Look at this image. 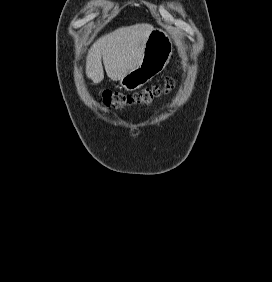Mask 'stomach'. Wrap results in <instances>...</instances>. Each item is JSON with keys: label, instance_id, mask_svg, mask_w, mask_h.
I'll list each match as a JSON object with an SVG mask.
<instances>
[{"label": "stomach", "instance_id": "obj_1", "mask_svg": "<svg viewBox=\"0 0 272 282\" xmlns=\"http://www.w3.org/2000/svg\"><path fill=\"white\" fill-rule=\"evenodd\" d=\"M172 53L171 38L161 29H152L140 63L120 79V86L127 91L139 89L166 68Z\"/></svg>", "mask_w": 272, "mask_h": 282}]
</instances>
